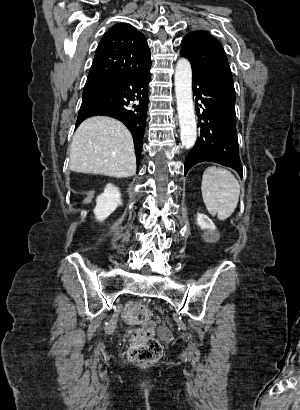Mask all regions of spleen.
<instances>
[{"label":"spleen","mask_w":300,"mask_h":410,"mask_svg":"<svg viewBox=\"0 0 300 410\" xmlns=\"http://www.w3.org/2000/svg\"><path fill=\"white\" fill-rule=\"evenodd\" d=\"M201 191L208 212L225 220L237 207L240 185L230 171L212 166L203 173Z\"/></svg>","instance_id":"1"}]
</instances>
